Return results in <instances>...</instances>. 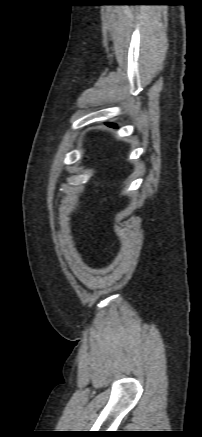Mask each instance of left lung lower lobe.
Returning <instances> with one entry per match:
<instances>
[{"mask_svg":"<svg viewBox=\"0 0 202 437\" xmlns=\"http://www.w3.org/2000/svg\"><path fill=\"white\" fill-rule=\"evenodd\" d=\"M109 126L116 127V125H114V124H109Z\"/></svg>","mask_w":202,"mask_h":437,"instance_id":"obj_1","label":"left lung lower lobe"}]
</instances>
